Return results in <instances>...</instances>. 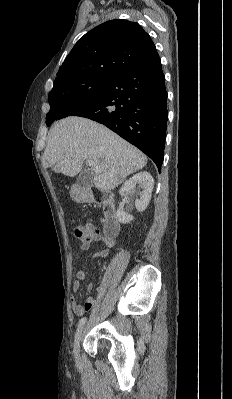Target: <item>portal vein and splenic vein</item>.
I'll list each match as a JSON object with an SVG mask.
<instances>
[{
  "instance_id": "18ae733b",
  "label": "portal vein and splenic vein",
  "mask_w": 232,
  "mask_h": 399,
  "mask_svg": "<svg viewBox=\"0 0 232 399\" xmlns=\"http://www.w3.org/2000/svg\"><path fill=\"white\" fill-rule=\"evenodd\" d=\"M86 164H88V166H92L95 174H101V170H98L95 162H92V160H87Z\"/></svg>"
}]
</instances>
